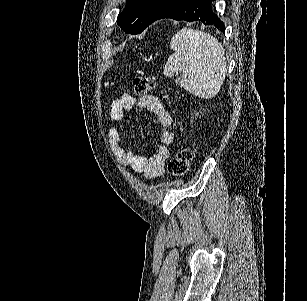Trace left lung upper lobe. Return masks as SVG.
I'll return each instance as SVG.
<instances>
[{
	"label": "left lung upper lobe",
	"instance_id": "1",
	"mask_svg": "<svg viewBox=\"0 0 307 301\" xmlns=\"http://www.w3.org/2000/svg\"><path fill=\"white\" fill-rule=\"evenodd\" d=\"M178 0H128L117 23L125 33L139 34Z\"/></svg>",
	"mask_w": 307,
	"mask_h": 301
}]
</instances>
